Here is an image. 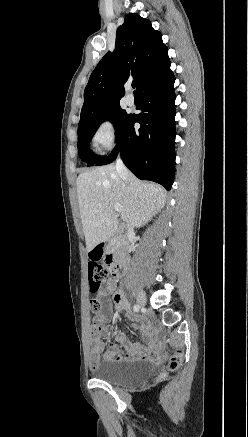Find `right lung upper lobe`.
Listing matches in <instances>:
<instances>
[{
    "instance_id": "obj_1",
    "label": "right lung upper lobe",
    "mask_w": 248,
    "mask_h": 437,
    "mask_svg": "<svg viewBox=\"0 0 248 437\" xmlns=\"http://www.w3.org/2000/svg\"><path fill=\"white\" fill-rule=\"evenodd\" d=\"M168 59L162 35L152 28L151 22L137 14L126 15L117 30L114 52H108L90 76L80 122L120 105L129 77L136 80L139 89Z\"/></svg>"
}]
</instances>
